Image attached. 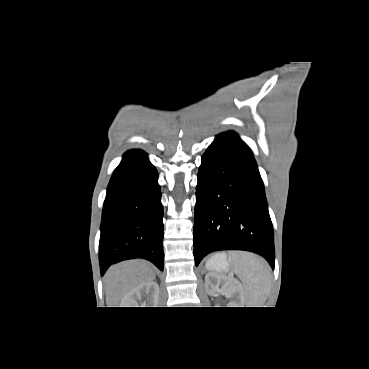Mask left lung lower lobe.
<instances>
[{
  "mask_svg": "<svg viewBox=\"0 0 369 369\" xmlns=\"http://www.w3.org/2000/svg\"><path fill=\"white\" fill-rule=\"evenodd\" d=\"M196 187L194 258L246 250L274 269V236L263 181L250 148L234 132L217 136L202 156Z\"/></svg>",
  "mask_w": 369,
  "mask_h": 369,
  "instance_id": "0a47b994",
  "label": "left lung lower lobe"
}]
</instances>
